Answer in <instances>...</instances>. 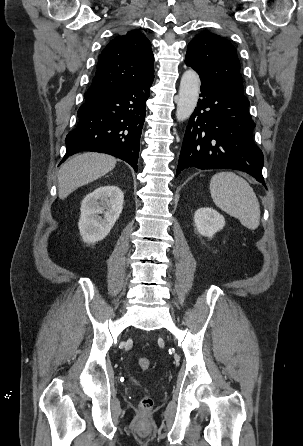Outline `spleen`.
<instances>
[{"mask_svg": "<svg viewBox=\"0 0 303 446\" xmlns=\"http://www.w3.org/2000/svg\"><path fill=\"white\" fill-rule=\"evenodd\" d=\"M214 203L243 226L255 230L260 224V205L249 183L230 171L216 173L210 181Z\"/></svg>", "mask_w": 303, "mask_h": 446, "instance_id": "3e777b00", "label": "spleen"}]
</instances>
